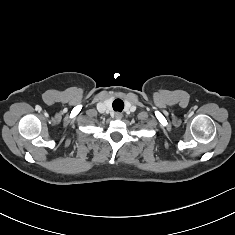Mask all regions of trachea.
<instances>
[{"label": "trachea", "instance_id": "1", "mask_svg": "<svg viewBox=\"0 0 235 235\" xmlns=\"http://www.w3.org/2000/svg\"><path fill=\"white\" fill-rule=\"evenodd\" d=\"M112 106L115 111L121 112L124 108V102L121 99H116L114 100Z\"/></svg>", "mask_w": 235, "mask_h": 235}]
</instances>
